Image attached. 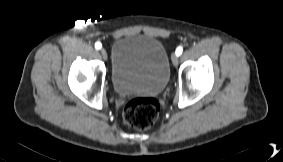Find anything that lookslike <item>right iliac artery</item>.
I'll return each mask as SVG.
<instances>
[{"instance_id":"right-iliac-artery-1","label":"right iliac artery","mask_w":283,"mask_h":162,"mask_svg":"<svg viewBox=\"0 0 283 162\" xmlns=\"http://www.w3.org/2000/svg\"><path fill=\"white\" fill-rule=\"evenodd\" d=\"M102 47L101 43L100 42H96L95 43V48L96 49H100Z\"/></svg>"}]
</instances>
